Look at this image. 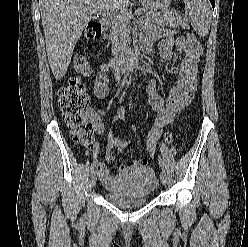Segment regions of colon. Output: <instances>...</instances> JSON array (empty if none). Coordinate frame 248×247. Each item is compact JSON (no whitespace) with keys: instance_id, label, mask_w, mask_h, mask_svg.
Wrapping results in <instances>:
<instances>
[{"instance_id":"obj_1","label":"colon","mask_w":248,"mask_h":247,"mask_svg":"<svg viewBox=\"0 0 248 247\" xmlns=\"http://www.w3.org/2000/svg\"><path fill=\"white\" fill-rule=\"evenodd\" d=\"M84 34L87 39L99 38L101 30L97 21L90 22ZM187 39L195 41L196 37L193 33H188ZM74 65L76 70L82 75H91L92 69L85 56L78 54L74 59ZM58 105L74 142L86 148L92 147L93 124L91 122L89 98L85 86L78 78H70L67 85L59 89ZM166 124V115L159 112L147 138L146 149L150 157L154 155L156 144Z\"/></svg>"}]
</instances>
